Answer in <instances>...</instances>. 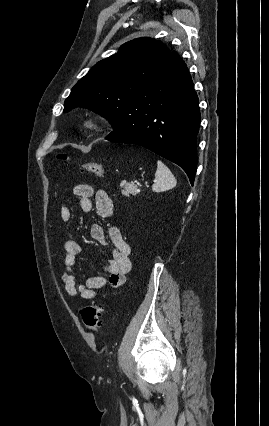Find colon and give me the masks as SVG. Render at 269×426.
Segmentation results:
<instances>
[{
	"instance_id": "obj_1",
	"label": "colon",
	"mask_w": 269,
	"mask_h": 426,
	"mask_svg": "<svg viewBox=\"0 0 269 426\" xmlns=\"http://www.w3.org/2000/svg\"><path fill=\"white\" fill-rule=\"evenodd\" d=\"M59 158L61 160H67V156L65 154H60ZM81 170L96 175L98 177L104 176V167L102 164L97 162H84L81 164ZM102 314L103 307L98 302H92L86 305L81 311V316L84 324L88 329L95 332H98L101 327Z\"/></svg>"
}]
</instances>
